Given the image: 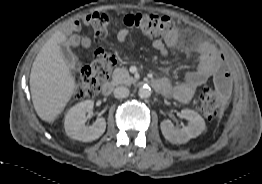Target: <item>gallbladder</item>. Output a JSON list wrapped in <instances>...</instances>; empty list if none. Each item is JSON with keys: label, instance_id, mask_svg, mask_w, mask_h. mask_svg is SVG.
<instances>
[{"label": "gallbladder", "instance_id": "1", "mask_svg": "<svg viewBox=\"0 0 262 184\" xmlns=\"http://www.w3.org/2000/svg\"><path fill=\"white\" fill-rule=\"evenodd\" d=\"M62 52H63V55H64V59H65V62L66 64L74 69L75 66H76V57L75 55L73 54V52L69 49L68 46H64L62 48Z\"/></svg>", "mask_w": 262, "mask_h": 184}]
</instances>
